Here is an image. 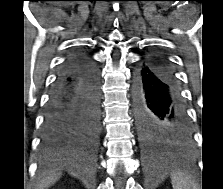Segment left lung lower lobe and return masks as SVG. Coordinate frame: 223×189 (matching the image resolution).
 Masks as SVG:
<instances>
[{
  "label": "left lung lower lobe",
  "mask_w": 223,
  "mask_h": 189,
  "mask_svg": "<svg viewBox=\"0 0 223 189\" xmlns=\"http://www.w3.org/2000/svg\"><path fill=\"white\" fill-rule=\"evenodd\" d=\"M133 96L138 127L162 125L189 143L191 129L179 85L161 61L146 59L137 68Z\"/></svg>",
  "instance_id": "obj_1"
}]
</instances>
